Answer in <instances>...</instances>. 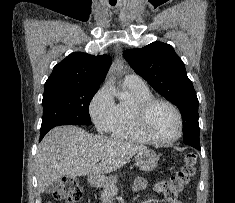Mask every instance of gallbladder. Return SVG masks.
Returning a JSON list of instances; mask_svg holds the SVG:
<instances>
[{
    "mask_svg": "<svg viewBox=\"0 0 235 203\" xmlns=\"http://www.w3.org/2000/svg\"><path fill=\"white\" fill-rule=\"evenodd\" d=\"M62 184V181L61 180H58L56 182H53L52 184H50L47 189H46V192L47 193H52L54 192L55 190H57L59 188V186Z\"/></svg>",
    "mask_w": 235,
    "mask_h": 203,
    "instance_id": "bac80fb5",
    "label": "gallbladder"
}]
</instances>
